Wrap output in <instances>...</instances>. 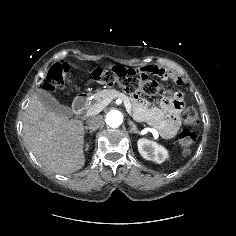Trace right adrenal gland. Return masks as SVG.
Returning a JSON list of instances; mask_svg holds the SVG:
<instances>
[{"mask_svg": "<svg viewBox=\"0 0 236 236\" xmlns=\"http://www.w3.org/2000/svg\"><path fill=\"white\" fill-rule=\"evenodd\" d=\"M95 130H96V128L85 127L84 133L86 134L89 131V133L92 134Z\"/></svg>", "mask_w": 236, "mask_h": 236, "instance_id": "2a0ac1e0", "label": "right adrenal gland"}]
</instances>
